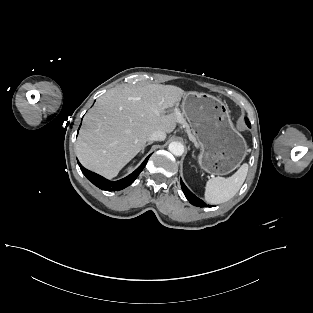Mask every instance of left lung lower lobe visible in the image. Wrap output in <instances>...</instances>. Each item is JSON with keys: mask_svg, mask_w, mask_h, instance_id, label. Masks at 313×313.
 Returning <instances> with one entry per match:
<instances>
[{"mask_svg": "<svg viewBox=\"0 0 313 313\" xmlns=\"http://www.w3.org/2000/svg\"><path fill=\"white\" fill-rule=\"evenodd\" d=\"M246 124L248 126L249 125V122L246 121ZM181 182V187H182V190H183V193L185 194L186 198L188 199V201L194 205V206H197V207H206L207 204H205L201 199H199L197 196H195L186 186L185 184L183 183L182 179L180 180Z\"/></svg>", "mask_w": 313, "mask_h": 313, "instance_id": "0a47b994", "label": "left lung lower lobe"}]
</instances>
